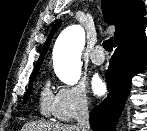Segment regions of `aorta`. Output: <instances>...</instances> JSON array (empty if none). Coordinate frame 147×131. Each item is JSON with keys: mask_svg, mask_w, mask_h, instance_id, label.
<instances>
[{"mask_svg": "<svg viewBox=\"0 0 147 131\" xmlns=\"http://www.w3.org/2000/svg\"><path fill=\"white\" fill-rule=\"evenodd\" d=\"M84 44L85 33L79 25L66 28L56 41L53 66L58 78L67 85H75L80 80Z\"/></svg>", "mask_w": 147, "mask_h": 131, "instance_id": "aorta-1", "label": "aorta"}]
</instances>
